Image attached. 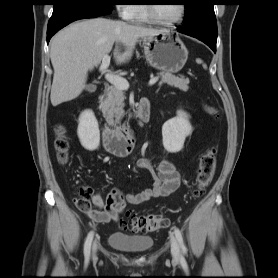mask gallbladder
Wrapping results in <instances>:
<instances>
[{"mask_svg": "<svg viewBox=\"0 0 278 278\" xmlns=\"http://www.w3.org/2000/svg\"><path fill=\"white\" fill-rule=\"evenodd\" d=\"M94 89H95V86L93 84H89V85L86 86V90L88 92H92Z\"/></svg>", "mask_w": 278, "mask_h": 278, "instance_id": "1", "label": "gallbladder"}]
</instances>
